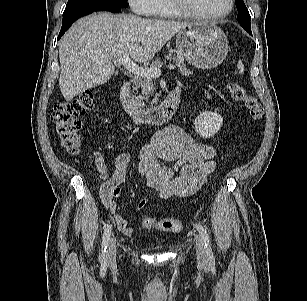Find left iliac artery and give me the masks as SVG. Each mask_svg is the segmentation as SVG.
<instances>
[{"label":"left iliac artery","mask_w":307,"mask_h":301,"mask_svg":"<svg viewBox=\"0 0 307 301\" xmlns=\"http://www.w3.org/2000/svg\"><path fill=\"white\" fill-rule=\"evenodd\" d=\"M196 227H197V230L199 231V234L201 235V237L204 241V244H205V247H206V250H207L208 260L211 264H214L215 263V257H214L213 252H212L210 239H209V235L207 233V230L200 223L196 224Z\"/></svg>","instance_id":"obj_1"}]
</instances>
